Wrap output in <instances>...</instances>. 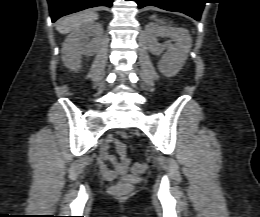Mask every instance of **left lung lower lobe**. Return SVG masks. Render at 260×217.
<instances>
[{
    "label": "left lung lower lobe",
    "mask_w": 260,
    "mask_h": 217,
    "mask_svg": "<svg viewBox=\"0 0 260 217\" xmlns=\"http://www.w3.org/2000/svg\"><path fill=\"white\" fill-rule=\"evenodd\" d=\"M139 8L156 6L168 11L181 12L200 20L205 0H134Z\"/></svg>",
    "instance_id": "obj_1"
}]
</instances>
